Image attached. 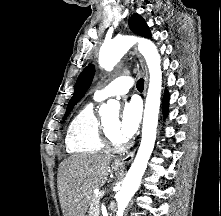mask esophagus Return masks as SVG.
Instances as JSON below:
<instances>
[{
  "mask_svg": "<svg viewBox=\"0 0 221 216\" xmlns=\"http://www.w3.org/2000/svg\"><path fill=\"white\" fill-rule=\"evenodd\" d=\"M134 51H135V54L138 58V61H139L140 67H141V71H142V74L144 76V81H145V83H144V95H145L146 90H147V86H148V70H147L145 61H144L143 57L141 56V54L138 52L136 46L134 47ZM134 155H135V151L130 152V153H128V154H126L122 157H119V158L115 159L114 164L118 165V166H121V167H124L125 165L129 164L133 160Z\"/></svg>",
  "mask_w": 221,
  "mask_h": 216,
  "instance_id": "obj_1",
  "label": "esophagus"
}]
</instances>
